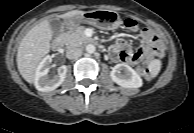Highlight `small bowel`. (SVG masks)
Returning a JSON list of instances; mask_svg holds the SVG:
<instances>
[{
    "label": "small bowel",
    "instance_id": "1",
    "mask_svg": "<svg viewBox=\"0 0 194 133\" xmlns=\"http://www.w3.org/2000/svg\"><path fill=\"white\" fill-rule=\"evenodd\" d=\"M160 54V45L157 36L148 28L140 32V44L133 47L125 41L115 43L111 47V56L116 61L139 63H150Z\"/></svg>",
    "mask_w": 194,
    "mask_h": 133
}]
</instances>
